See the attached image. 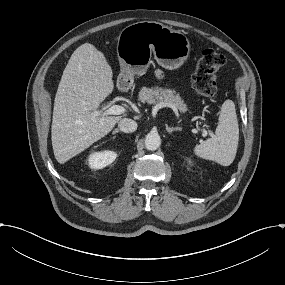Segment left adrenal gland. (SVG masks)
Returning a JSON list of instances; mask_svg holds the SVG:
<instances>
[{
	"label": "left adrenal gland",
	"mask_w": 285,
	"mask_h": 285,
	"mask_svg": "<svg viewBox=\"0 0 285 285\" xmlns=\"http://www.w3.org/2000/svg\"><path fill=\"white\" fill-rule=\"evenodd\" d=\"M166 126V130L168 133H172V131H178V130H181L182 128L181 127H169L168 124H165Z\"/></svg>",
	"instance_id": "obj_1"
}]
</instances>
